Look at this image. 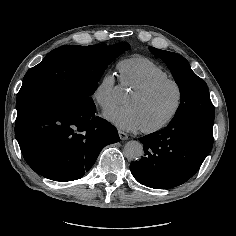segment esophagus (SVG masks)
Wrapping results in <instances>:
<instances>
[{
  "label": "esophagus",
  "instance_id": "1",
  "mask_svg": "<svg viewBox=\"0 0 236 236\" xmlns=\"http://www.w3.org/2000/svg\"><path fill=\"white\" fill-rule=\"evenodd\" d=\"M118 134H119L120 139L123 140V141L128 138V135L125 132L121 131V130L118 131Z\"/></svg>",
  "mask_w": 236,
  "mask_h": 236
}]
</instances>
